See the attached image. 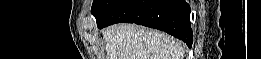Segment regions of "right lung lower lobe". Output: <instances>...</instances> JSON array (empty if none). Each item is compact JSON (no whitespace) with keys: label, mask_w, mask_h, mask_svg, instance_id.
Masks as SVG:
<instances>
[{"label":"right lung lower lobe","mask_w":261,"mask_h":59,"mask_svg":"<svg viewBox=\"0 0 261 59\" xmlns=\"http://www.w3.org/2000/svg\"><path fill=\"white\" fill-rule=\"evenodd\" d=\"M97 27L126 22L162 30L192 46L190 6L185 0H118L96 17Z\"/></svg>","instance_id":"1"}]
</instances>
